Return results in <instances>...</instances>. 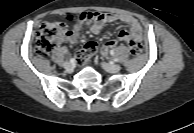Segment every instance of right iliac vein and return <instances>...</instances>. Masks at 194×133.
Here are the masks:
<instances>
[{
  "label": "right iliac vein",
  "mask_w": 194,
  "mask_h": 133,
  "mask_svg": "<svg viewBox=\"0 0 194 133\" xmlns=\"http://www.w3.org/2000/svg\"><path fill=\"white\" fill-rule=\"evenodd\" d=\"M63 67L66 69V71H68V72H71V71H73V64H71V63H69V62H65L64 64H63Z\"/></svg>",
  "instance_id": "obj_1"
}]
</instances>
